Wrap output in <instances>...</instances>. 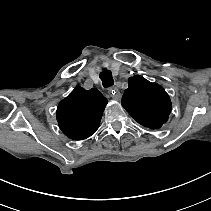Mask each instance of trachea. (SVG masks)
Returning <instances> with one entry per match:
<instances>
[{
    "mask_svg": "<svg viewBox=\"0 0 211 211\" xmlns=\"http://www.w3.org/2000/svg\"><path fill=\"white\" fill-rule=\"evenodd\" d=\"M99 76H100V79L102 80V85L105 88H108L114 85L112 73L110 70L104 69V71L101 72Z\"/></svg>",
    "mask_w": 211,
    "mask_h": 211,
    "instance_id": "trachea-1",
    "label": "trachea"
}]
</instances>
